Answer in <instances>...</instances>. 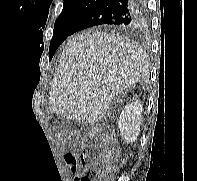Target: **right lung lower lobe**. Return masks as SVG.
<instances>
[{"label": "right lung lower lobe", "instance_id": "right-lung-lower-lobe-1", "mask_svg": "<svg viewBox=\"0 0 197 181\" xmlns=\"http://www.w3.org/2000/svg\"><path fill=\"white\" fill-rule=\"evenodd\" d=\"M142 22V0H100L80 16L69 35L93 26L123 28L139 26Z\"/></svg>", "mask_w": 197, "mask_h": 181}]
</instances>
